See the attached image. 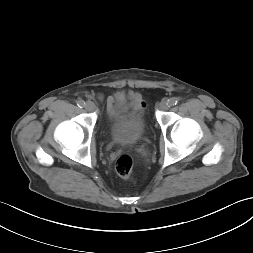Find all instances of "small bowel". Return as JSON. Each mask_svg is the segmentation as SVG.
<instances>
[{"label": "small bowel", "mask_w": 253, "mask_h": 253, "mask_svg": "<svg viewBox=\"0 0 253 253\" xmlns=\"http://www.w3.org/2000/svg\"><path fill=\"white\" fill-rule=\"evenodd\" d=\"M129 99L132 101L134 107L137 110H142L145 107V103L141 99L140 95L134 92L129 93ZM107 109L112 117H117L120 113V107L118 106L115 98L109 97L107 99Z\"/></svg>", "instance_id": "small-bowel-1"}]
</instances>
